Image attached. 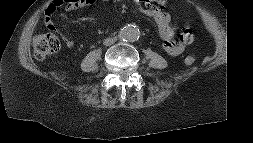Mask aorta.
<instances>
[{
  "label": "aorta",
  "mask_w": 253,
  "mask_h": 143,
  "mask_svg": "<svg viewBox=\"0 0 253 143\" xmlns=\"http://www.w3.org/2000/svg\"><path fill=\"white\" fill-rule=\"evenodd\" d=\"M140 37V30L135 25H126L119 32V38L125 42H134Z\"/></svg>",
  "instance_id": "aorta-1"
}]
</instances>
